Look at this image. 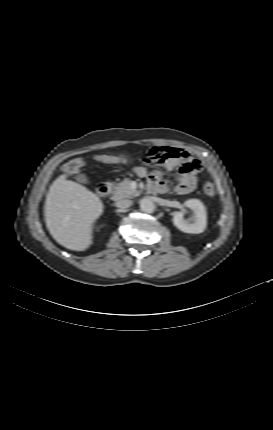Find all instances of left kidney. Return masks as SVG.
<instances>
[{"mask_svg": "<svg viewBox=\"0 0 273 430\" xmlns=\"http://www.w3.org/2000/svg\"><path fill=\"white\" fill-rule=\"evenodd\" d=\"M185 207L193 211V216L185 219L183 212H176L173 216V224L182 232L199 234L207 227L206 207L199 199H189L184 203Z\"/></svg>", "mask_w": 273, "mask_h": 430, "instance_id": "1", "label": "left kidney"}]
</instances>
